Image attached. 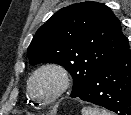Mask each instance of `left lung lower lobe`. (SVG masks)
<instances>
[{
    "mask_svg": "<svg viewBox=\"0 0 131 115\" xmlns=\"http://www.w3.org/2000/svg\"><path fill=\"white\" fill-rule=\"evenodd\" d=\"M118 115H131V50L106 65L77 96Z\"/></svg>",
    "mask_w": 131,
    "mask_h": 115,
    "instance_id": "left-lung-lower-lobe-1",
    "label": "left lung lower lobe"
}]
</instances>
